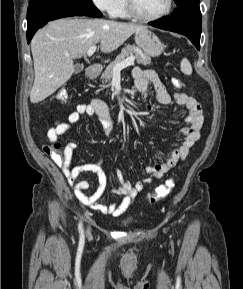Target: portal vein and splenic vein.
I'll list each match as a JSON object with an SVG mask.
<instances>
[{"label": "portal vein and splenic vein", "mask_w": 243, "mask_h": 289, "mask_svg": "<svg viewBox=\"0 0 243 289\" xmlns=\"http://www.w3.org/2000/svg\"><path fill=\"white\" fill-rule=\"evenodd\" d=\"M97 47L96 45L91 46L88 51H87V55L88 56H92L95 51H96ZM134 61H135V57L134 56H130L127 59H125L124 61L116 64L114 66L113 72L114 73H120V71L128 66H133L134 65Z\"/></svg>", "instance_id": "1"}]
</instances>
